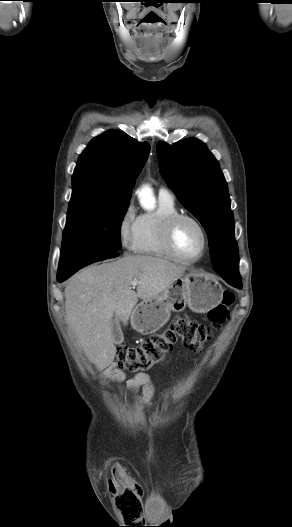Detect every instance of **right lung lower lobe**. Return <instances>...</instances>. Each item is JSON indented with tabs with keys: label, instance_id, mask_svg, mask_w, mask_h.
Returning <instances> with one entry per match:
<instances>
[{
	"label": "right lung lower lobe",
	"instance_id": "98d812e1",
	"mask_svg": "<svg viewBox=\"0 0 292 527\" xmlns=\"http://www.w3.org/2000/svg\"><path fill=\"white\" fill-rule=\"evenodd\" d=\"M118 255L115 250L106 248L69 249L61 251L57 280L58 282H63L86 265L114 258Z\"/></svg>",
	"mask_w": 292,
	"mask_h": 527
}]
</instances>
